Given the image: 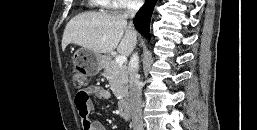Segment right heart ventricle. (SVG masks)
<instances>
[{
  "label": "right heart ventricle",
  "mask_w": 257,
  "mask_h": 130,
  "mask_svg": "<svg viewBox=\"0 0 257 130\" xmlns=\"http://www.w3.org/2000/svg\"><path fill=\"white\" fill-rule=\"evenodd\" d=\"M89 1L93 6L107 8V3H106V2H108L107 0H89Z\"/></svg>",
  "instance_id": "e07e8e85"
}]
</instances>
